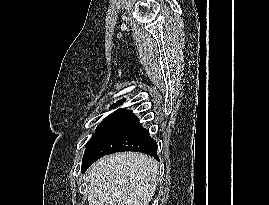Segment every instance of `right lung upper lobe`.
I'll return each instance as SVG.
<instances>
[{"label":"right lung upper lobe","mask_w":269,"mask_h":205,"mask_svg":"<svg viewBox=\"0 0 269 205\" xmlns=\"http://www.w3.org/2000/svg\"><path fill=\"white\" fill-rule=\"evenodd\" d=\"M123 102H124V100H120V101H118V103L113 104L112 107H116V106L122 104Z\"/></svg>","instance_id":"1"}]
</instances>
